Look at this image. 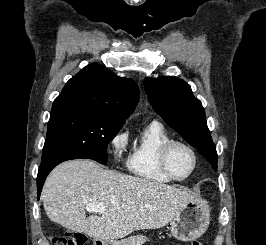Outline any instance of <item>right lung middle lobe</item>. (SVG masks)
<instances>
[{
  "label": "right lung middle lobe",
  "mask_w": 266,
  "mask_h": 245,
  "mask_svg": "<svg viewBox=\"0 0 266 245\" xmlns=\"http://www.w3.org/2000/svg\"><path fill=\"white\" fill-rule=\"evenodd\" d=\"M125 120L87 111H69L50 117L41 162L54 157L87 158L107 163V144Z\"/></svg>",
  "instance_id": "dd1d6c3e"
}]
</instances>
